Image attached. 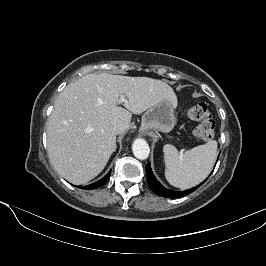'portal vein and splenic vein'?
<instances>
[{"mask_svg":"<svg viewBox=\"0 0 266 266\" xmlns=\"http://www.w3.org/2000/svg\"><path fill=\"white\" fill-rule=\"evenodd\" d=\"M123 102H126V99H125L124 95H121L119 100H118V104H121Z\"/></svg>","mask_w":266,"mask_h":266,"instance_id":"obj_1","label":"portal vein and splenic vein"}]
</instances>
